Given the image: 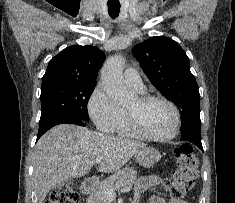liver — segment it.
I'll use <instances>...</instances> for the list:
<instances>
[{"label":"liver","instance_id":"liver-1","mask_svg":"<svg viewBox=\"0 0 235 203\" xmlns=\"http://www.w3.org/2000/svg\"><path fill=\"white\" fill-rule=\"evenodd\" d=\"M146 144L88 130L72 124H60L37 142L33 160V183L39 203L49 191L69 178L89 173L97 157L98 171L111 173L124 166Z\"/></svg>","mask_w":235,"mask_h":203}]
</instances>
